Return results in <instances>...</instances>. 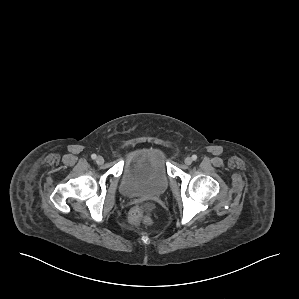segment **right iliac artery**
I'll return each mask as SVG.
<instances>
[{"label": "right iliac artery", "instance_id": "obj_1", "mask_svg": "<svg viewBox=\"0 0 299 299\" xmlns=\"http://www.w3.org/2000/svg\"><path fill=\"white\" fill-rule=\"evenodd\" d=\"M91 158H92V159H96V158H97L96 154H92V155H91Z\"/></svg>", "mask_w": 299, "mask_h": 299}]
</instances>
